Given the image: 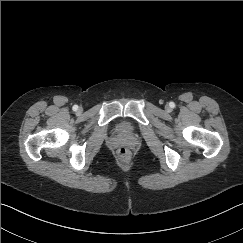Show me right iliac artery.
Listing matches in <instances>:
<instances>
[{
  "mask_svg": "<svg viewBox=\"0 0 243 243\" xmlns=\"http://www.w3.org/2000/svg\"><path fill=\"white\" fill-rule=\"evenodd\" d=\"M78 109V106L77 105H74L73 106V110L76 111Z\"/></svg>",
  "mask_w": 243,
  "mask_h": 243,
  "instance_id": "obj_1",
  "label": "right iliac artery"
}]
</instances>
